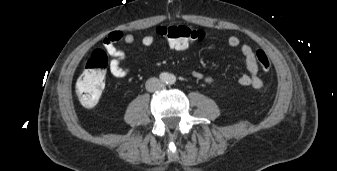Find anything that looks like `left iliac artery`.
Listing matches in <instances>:
<instances>
[{"label": "left iliac artery", "mask_w": 337, "mask_h": 171, "mask_svg": "<svg viewBox=\"0 0 337 171\" xmlns=\"http://www.w3.org/2000/svg\"><path fill=\"white\" fill-rule=\"evenodd\" d=\"M175 81H176L175 76H174V75H170V77H169V83H170V84H174Z\"/></svg>", "instance_id": "left-iliac-artery-1"}]
</instances>
